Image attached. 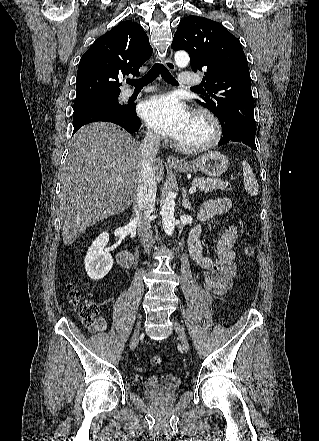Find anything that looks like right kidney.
I'll return each instance as SVG.
<instances>
[{"label": "right kidney", "mask_w": 319, "mask_h": 441, "mask_svg": "<svg viewBox=\"0 0 319 441\" xmlns=\"http://www.w3.org/2000/svg\"><path fill=\"white\" fill-rule=\"evenodd\" d=\"M109 242V233H101L88 248L84 259L85 270L92 280H100L111 270L113 257L106 252L105 246Z\"/></svg>", "instance_id": "obj_1"}]
</instances>
